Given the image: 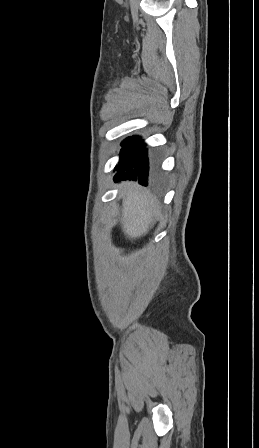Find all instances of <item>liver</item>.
<instances>
[{
    "label": "liver",
    "instance_id": "obj_1",
    "mask_svg": "<svg viewBox=\"0 0 259 448\" xmlns=\"http://www.w3.org/2000/svg\"><path fill=\"white\" fill-rule=\"evenodd\" d=\"M122 214L120 222L126 238H142L154 218L155 198L137 182H122Z\"/></svg>",
    "mask_w": 259,
    "mask_h": 448
}]
</instances>
